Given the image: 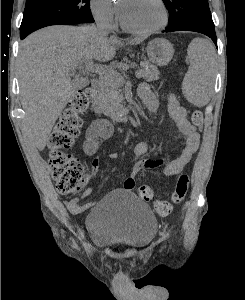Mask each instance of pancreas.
Here are the masks:
<instances>
[{"mask_svg":"<svg viewBox=\"0 0 245 300\" xmlns=\"http://www.w3.org/2000/svg\"><path fill=\"white\" fill-rule=\"evenodd\" d=\"M141 77L147 82L157 80L159 71L156 66L148 61L141 63ZM104 82V91L100 97L101 108L104 113L112 120L119 121L127 113L123 106V94L121 87L124 84V78L121 73L111 70L102 76Z\"/></svg>","mask_w":245,"mask_h":300,"instance_id":"obj_1","label":"pancreas"}]
</instances>
